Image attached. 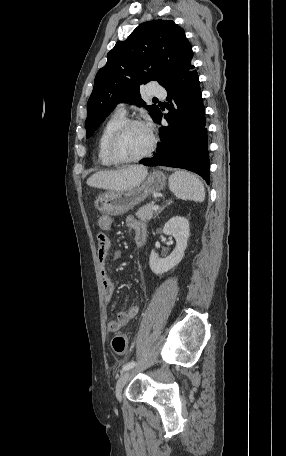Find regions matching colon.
Returning a JSON list of instances; mask_svg holds the SVG:
<instances>
[{
	"label": "colon",
	"instance_id": "obj_1",
	"mask_svg": "<svg viewBox=\"0 0 286 456\" xmlns=\"http://www.w3.org/2000/svg\"><path fill=\"white\" fill-rule=\"evenodd\" d=\"M112 349L117 355H122L127 351L128 339L126 335H117L112 339Z\"/></svg>",
	"mask_w": 286,
	"mask_h": 456
}]
</instances>
